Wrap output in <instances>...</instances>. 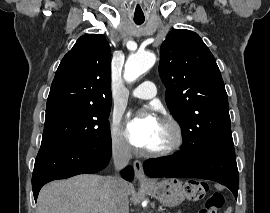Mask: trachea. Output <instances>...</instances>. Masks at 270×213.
I'll return each mask as SVG.
<instances>
[{"label": "trachea", "instance_id": "obj_1", "mask_svg": "<svg viewBox=\"0 0 270 213\" xmlns=\"http://www.w3.org/2000/svg\"><path fill=\"white\" fill-rule=\"evenodd\" d=\"M134 22H135L137 25H141V24L144 22V19H135Z\"/></svg>", "mask_w": 270, "mask_h": 213}]
</instances>
